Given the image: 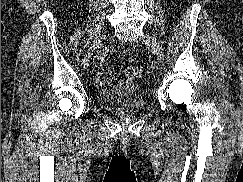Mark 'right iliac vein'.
Instances as JSON below:
<instances>
[{"label": "right iliac vein", "instance_id": "1", "mask_svg": "<svg viewBox=\"0 0 243 182\" xmlns=\"http://www.w3.org/2000/svg\"><path fill=\"white\" fill-rule=\"evenodd\" d=\"M105 37H106L105 35H99L94 39L93 44L87 50L82 60V66L84 69H86L89 66L90 60L92 58L95 49L101 44V42L105 39Z\"/></svg>", "mask_w": 243, "mask_h": 182}]
</instances>
